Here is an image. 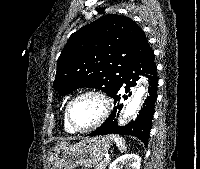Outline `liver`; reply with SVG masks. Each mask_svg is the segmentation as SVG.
I'll use <instances>...</instances> for the list:
<instances>
[{"label": "liver", "instance_id": "6515ba94", "mask_svg": "<svg viewBox=\"0 0 200 169\" xmlns=\"http://www.w3.org/2000/svg\"><path fill=\"white\" fill-rule=\"evenodd\" d=\"M64 145H67V143L66 142H59V143H57L55 148H57L59 146H64Z\"/></svg>", "mask_w": 200, "mask_h": 169}]
</instances>
